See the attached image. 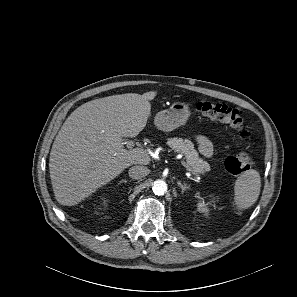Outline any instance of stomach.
<instances>
[{"instance_id":"obj_1","label":"stomach","mask_w":297,"mask_h":297,"mask_svg":"<svg viewBox=\"0 0 297 297\" xmlns=\"http://www.w3.org/2000/svg\"><path fill=\"white\" fill-rule=\"evenodd\" d=\"M190 116V107L184 102H175L170 110H163L156 114L155 126L161 131H172L185 125Z\"/></svg>"}]
</instances>
